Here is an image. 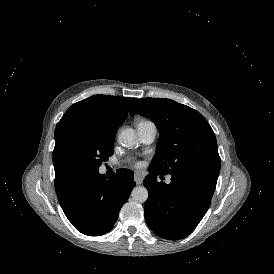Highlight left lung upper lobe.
I'll list each match as a JSON object with an SVG mask.
<instances>
[{"label":"left lung upper lobe","instance_id":"obj_1","mask_svg":"<svg viewBox=\"0 0 274 274\" xmlns=\"http://www.w3.org/2000/svg\"><path fill=\"white\" fill-rule=\"evenodd\" d=\"M139 113L157 126L160 138L150 167L162 174L197 172L219 175L221 160L215 134L196 110L170 99L136 100L130 114Z\"/></svg>","mask_w":274,"mask_h":274}]
</instances>
